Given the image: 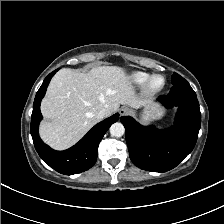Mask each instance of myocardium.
Wrapping results in <instances>:
<instances>
[{
    "label": "myocardium",
    "instance_id": "f54148a6",
    "mask_svg": "<svg viewBox=\"0 0 224 224\" xmlns=\"http://www.w3.org/2000/svg\"><path fill=\"white\" fill-rule=\"evenodd\" d=\"M162 77L163 78V84L158 87V88H154L152 86V81L156 78V77ZM166 86V78L164 75L162 74H153L150 75L147 80L144 82L143 84V92L144 94L148 95V96H153L155 94H158L159 92H161Z\"/></svg>",
    "mask_w": 224,
    "mask_h": 224
}]
</instances>
